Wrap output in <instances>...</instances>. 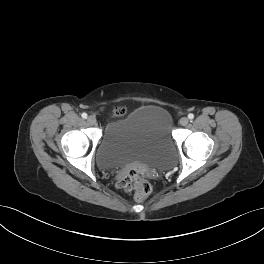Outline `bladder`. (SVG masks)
<instances>
[{"mask_svg":"<svg viewBox=\"0 0 264 264\" xmlns=\"http://www.w3.org/2000/svg\"><path fill=\"white\" fill-rule=\"evenodd\" d=\"M102 170L114 171L131 165L163 168L174 158L170 118L159 107L133 110L106 131L96 153Z\"/></svg>","mask_w":264,"mask_h":264,"instance_id":"bladder-1","label":"bladder"}]
</instances>
